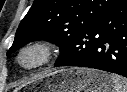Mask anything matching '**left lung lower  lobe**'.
<instances>
[{
	"label": "left lung lower lobe",
	"instance_id": "left-lung-lower-lobe-1",
	"mask_svg": "<svg viewBox=\"0 0 127 92\" xmlns=\"http://www.w3.org/2000/svg\"><path fill=\"white\" fill-rule=\"evenodd\" d=\"M78 66L127 77V0L82 31L55 67Z\"/></svg>",
	"mask_w": 127,
	"mask_h": 92
}]
</instances>
